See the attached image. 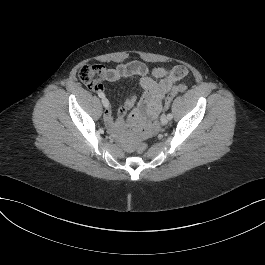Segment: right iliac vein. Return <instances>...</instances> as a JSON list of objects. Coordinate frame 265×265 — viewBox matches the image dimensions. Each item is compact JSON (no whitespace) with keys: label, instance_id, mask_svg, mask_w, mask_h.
I'll use <instances>...</instances> for the list:
<instances>
[{"label":"right iliac vein","instance_id":"obj_1","mask_svg":"<svg viewBox=\"0 0 265 265\" xmlns=\"http://www.w3.org/2000/svg\"><path fill=\"white\" fill-rule=\"evenodd\" d=\"M102 104H103V106H104L105 108H108V107H109V101H108V99L103 98V99H102Z\"/></svg>","mask_w":265,"mask_h":265}]
</instances>
